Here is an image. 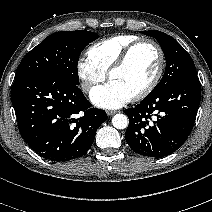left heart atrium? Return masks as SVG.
Wrapping results in <instances>:
<instances>
[{"label": "left heart atrium", "instance_id": "left-heart-atrium-1", "mask_svg": "<svg viewBox=\"0 0 212 212\" xmlns=\"http://www.w3.org/2000/svg\"><path fill=\"white\" fill-rule=\"evenodd\" d=\"M92 102L101 108L114 109L128 103L132 96L114 82L95 88L90 95Z\"/></svg>", "mask_w": 212, "mask_h": 212}]
</instances>
